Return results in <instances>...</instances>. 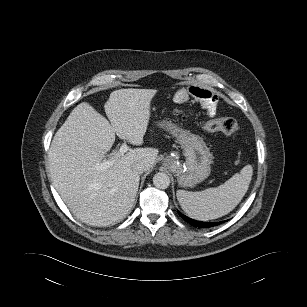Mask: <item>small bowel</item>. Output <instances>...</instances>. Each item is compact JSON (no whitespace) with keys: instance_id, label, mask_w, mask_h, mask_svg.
Returning a JSON list of instances; mask_svg holds the SVG:
<instances>
[{"instance_id":"small-bowel-1","label":"small bowel","mask_w":307,"mask_h":307,"mask_svg":"<svg viewBox=\"0 0 307 307\" xmlns=\"http://www.w3.org/2000/svg\"><path fill=\"white\" fill-rule=\"evenodd\" d=\"M175 101L177 103H187L194 99L203 104L208 115L212 116L216 112L215 97L213 93L200 86H188L179 89L175 94Z\"/></svg>"}]
</instances>
